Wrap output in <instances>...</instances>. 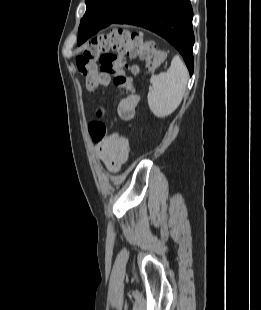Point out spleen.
Returning <instances> with one entry per match:
<instances>
[{
    "instance_id": "obj_1",
    "label": "spleen",
    "mask_w": 261,
    "mask_h": 310,
    "mask_svg": "<svg viewBox=\"0 0 261 310\" xmlns=\"http://www.w3.org/2000/svg\"><path fill=\"white\" fill-rule=\"evenodd\" d=\"M188 70L183 61L176 55L169 69L158 75H152L151 91L147 100L152 113L159 118L171 115L180 105L186 90Z\"/></svg>"
}]
</instances>
